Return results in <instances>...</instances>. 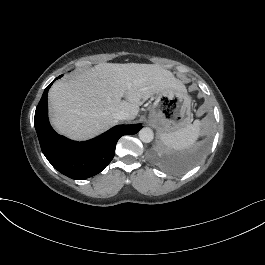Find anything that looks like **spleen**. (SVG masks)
I'll return each instance as SVG.
<instances>
[{
	"label": "spleen",
	"instance_id": "obj_1",
	"mask_svg": "<svg viewBox=\"0 0 265 265\" xmlns=\"http://www.w3.org/2000/svg\"><path fill=\"white\" fill-rule=\"evenodd\" d=\"M199 123L195 121L193 124H188L181 129L170 133H161L160 136L163 143L171 149L183 150L190 147L198 138Z\"/></svg>",
	"mask_w": 265,
	"mask_h": 265
}]
</instances>
